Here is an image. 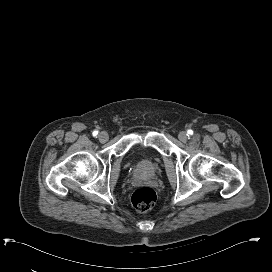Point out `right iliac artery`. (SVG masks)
<instances>
[{"mask_svg":"<svg viewBox=\"0 0 272 272\" xmlns=\"http://www.w3.org/2000/svg\"><path fill=\"white\" fill-rule=\"evenodd\" d=\"M92 134L94 137H96L98 135V131H94Z\"/></svg>","mask_w":272,"mask_h":272,"instance_id":"obj_1","label":"right iliac artery"}]
</instances>
